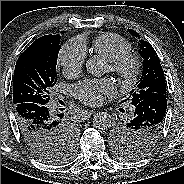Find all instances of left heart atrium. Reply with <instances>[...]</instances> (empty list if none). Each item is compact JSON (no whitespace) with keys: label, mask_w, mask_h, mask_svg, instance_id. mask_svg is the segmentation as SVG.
<instances>
[{"label":"left heart atrium","mask_w":184,"mask_h":184,"mask_svg":"<svg viewBox=\"0 0 184 184\" xmlns=\"http://www.w3.org/2000/svg\"><path fill=\"white\" fill-rule=\"evenodd\" d=\"M115 90L116 86L110 79L83 80L72 88L74 96L90 106L99 105L104 95H111Z\"/></svg>","instance_id":"1"}]
</instances>
